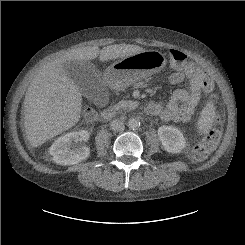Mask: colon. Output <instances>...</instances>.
Returning <instances> with one entry per match:
<instances>
[{
	"instance_id": "colon-1",
	"label": "colon",
	"mask_w": 245,
	"mask_h": 245,
	"mask_svg": "<svg viewBox=\"0 0 245 245\" xmlns=\"http://www.w3.org/2000/svg\"><path fill=\"white\" fill-rule=\"evenodd\" d=\"M169 58L171 62L177 66H182L187 62V55L180 50H170ZM200 85L208 95V99L211 102L217 101V96L213 90V82L209 76L203 75L199 79ZM95 111L88 107L84 111V120L88 121L94 118ZM222 125V119L220 115H216L214 118V127L205 135V137L199 139L192 148V158L195 160H202L213 151L220 139L221 131L220 127Z\"/></svg>"
}]
</instances>
